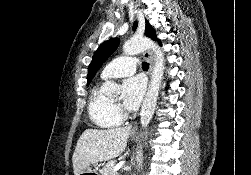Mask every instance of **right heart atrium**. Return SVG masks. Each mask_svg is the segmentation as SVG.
Masks as SVG:
<instances>
[{"label": "right heart atrium", "mask_w": 251, "mask_h": 175, "mask_svg": "<svg viewBox=\"0 0 251 175\" xmlns=\"http://www.w3.org/2000/svg\"><path fill=\"white\" fill-rule=\"evenodd\" d=\"M114 111H115L116 115H117L119 118H122V117L124 116V114H123L121 108L116 107V108L114 109Z\"/></svg>", "instance_id": "d8ad5b80"}]
</instances>
